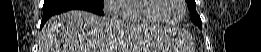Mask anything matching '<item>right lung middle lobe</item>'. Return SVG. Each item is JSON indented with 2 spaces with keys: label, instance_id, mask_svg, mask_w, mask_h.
I'll return each instance as SVG.
<instances>
[{
  "label": "right lung middle lobe",
  "instance_id": "obj_1",
  "mask_svg": "<svg viewBox=\"0 0 261 52\" xmlns=\"http://www.w3.org/2000/svg\"><path fill=\"white\" fill-rule=\"evenodd\" d=\"M83 5L91 6L97 9H103V0H73Z\"/></svg>",
  "mask_w": 261,
  "mask_h": 52
}]
</instances>
